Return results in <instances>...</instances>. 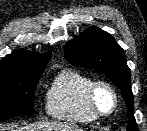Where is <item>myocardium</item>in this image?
Listing matches in <instances>:
<instances>
[{
	"label": "myocardium",
	"mask_w": 147,
	"mask_h": 131,
	"mask_svg": "<svg viewBox=\"0 0 147 131\" xmlns=\"http://www.w3.org/2000/svg\"><path fill=\"white\" fill-rule=\"evenodd\" d=\"M100 87H105L109 89L113 95L114 104H113L112 109L108 112H102L97 107V104H96V99H95L96 92L98 88ZM86 100H87V105H88L90 112L96 118H106V117L111 116L117 110L118 105H119V95H118L116 88L110 82L106 80H94L88 87L87 94H86Z\"/></svg>",
	"instance_id": "f54148a6"
}]
</instances>
